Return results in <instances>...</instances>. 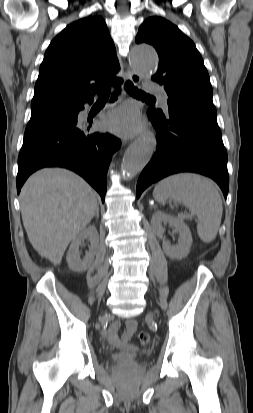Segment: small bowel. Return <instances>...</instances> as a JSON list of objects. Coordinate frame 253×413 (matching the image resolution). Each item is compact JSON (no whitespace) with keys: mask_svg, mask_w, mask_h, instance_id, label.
Listing matches in <instances>:
<instances>
[{"mask_svg":"<svg viewBox=\"0 0 253 413\" xmlns=\"http://www.w3.org/2000/svg\"><path fill=\"white\" fill-rule=\"evenodd\" d=\"M136 328V322L134 320H128L125 324L123 333L119 335L120 323L116 321L109 327L107 331V338L113 346L117 348H124L131 340Z\"/></svg>","mask_w":253,"mask_h":413,"instance_id":"small-bowel-1","label":"small bowel"}]
</instances>
